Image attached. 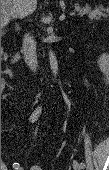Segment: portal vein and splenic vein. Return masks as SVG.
<instances>
[{"label":"portal vein and splenic vein","mask_w":109,"mask_h":170,"mask_svg":"<svg viewBox=\"0 0 109 170\" xmlns=\"http://www.w3.org/2000/svg\"><path fill=\"white\" fill-rule=\"evenodd\" d=\"M2 14H5V15L8 14V12L6 11V9H4V8L2 9ZM70 15H71V16L75 15V12H71ZM59 19H60L61 21L64 20V15L60 16Z\"/></svg>","instance_id":"portal-vein-and-splenic-vein-1"}]
</instances>
